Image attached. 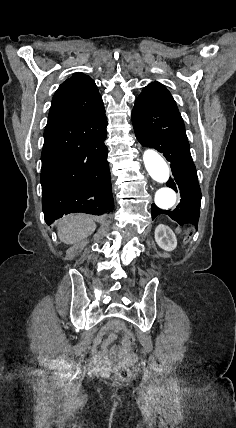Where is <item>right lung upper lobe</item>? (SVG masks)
Listing matches in <instances>:
<instances>
[{"instance_id": "1", "label": "right lung upper lobe", "mask_w": 236, "mask_h": 428, "mask_svg": "<svg viewBox=\"0 0 236 428\" xmlns=\"http://www.w3.org/2000/svg\"><path fill=\"white\" fill-rule=\"evenodd\" d=\"M102 109L103 101L94 80L83 73H75L57 89L47 125L91 116Z\"/></svg>"}]
</instances>
